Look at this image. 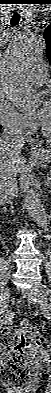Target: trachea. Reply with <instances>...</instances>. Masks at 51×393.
<instances>
[{"label": "trachea", "mask_w": 51, "mask_h": 393, "mask_svg": "<svg viewBox=\"0 0 51 393\" xmlns=\"http://www.w3.org/2000/svg\"><path fill=\"white\" fill-rule=\"evenodd\" d=\"M19 21H20V15L16 13L12 16L10 23L12 26H15L19 23Z\"/></svg>", "instance_id": "trachea-1"}]
</instances>
